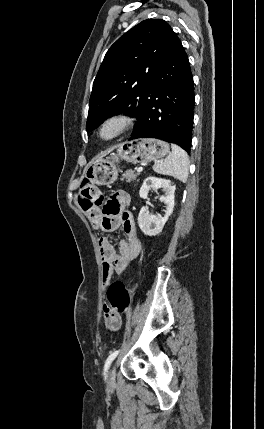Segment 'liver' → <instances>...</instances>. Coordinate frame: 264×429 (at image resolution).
<instances>
[{
  "label": "liver",
  "instance_id": "6515ba94",
  "mask_svg": "<svg viewBox=\"0 0 264 429\" xmlns=\"http://www.w3.org/2000/svg\"><path fill=\"white\" fill-rule=\"evenodd\" d=\"M115 147H113V148H111V149H109V150H106L105 152H103L100 156H98L97 158H102L103 156H105V155H107L109 152H111L113 149H114Z\"/></svg>",
  "mask_w": 264,
  "mask_h": 429
}]
</instances>
